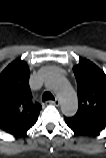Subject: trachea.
<instances>
[{
	"instance_id": "1",
	"label": "trachea",
	"mask_w": 106,
	"mask_h": 158,
	"mask_svg": "<svg viewBox=\"0 0 106 158\" xmlns=\"http://www.w3.org/2000/svg\"><path fill=\"white\" fill-rule=\"evenodd\" d=\"M42 100L45 102L46 100H55V98L50 92H44Z\"/></svg>"
}]
</instances>
